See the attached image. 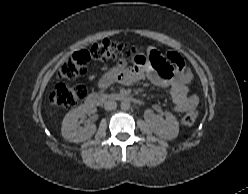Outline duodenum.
<instances>
[{"mask_svg": "<svg viewBox=\"0 0 248 194\" xmlns=\"http://www.w3.org/2000/svg\"><path fill=\"white\" fill-rule=\"evenodd\" d=\"M107 100H118V101L133 103L136 105L141 104V101L139 99L125 95V94H121V93L99 94L96 92L90 93L86 97L85 102L87 105H90V106H99L104 101H107Z\"/></svg>", "mask_w": 248, "mask_h": 194, "instance_id": "410a0bca", "label": "duodenum"}]
</instances>
